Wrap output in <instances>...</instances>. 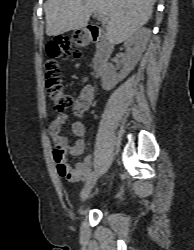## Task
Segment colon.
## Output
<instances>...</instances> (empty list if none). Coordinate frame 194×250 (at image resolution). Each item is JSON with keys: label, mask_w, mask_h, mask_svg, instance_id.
<instances>
[{"label": "colon", "mask_w": 194, "mask_h": 250, "mask_svg": "<svg viewBox=\"0 0 194 250\" xmlns=\"http://www.w3.org/2000/svg\"><path fill=\"white\" fill-rule=\"evenodd\" d=\"M76 41L77 38L74 36L62 37L48 44L46 47V55L48 57L45 65L46 91L54 109L60 113L74 109L77 104V100L66 91L62 83L59 65L60 57H70L72 59H80L82 57V51L77 47ZM54 155L60 160V168L65 172L67 170L65 152L63 150H56L54 151Z\"/></svg>", "instance_id": "colon-1"}]
</instances>
